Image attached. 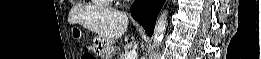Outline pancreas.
<instances>
[{
  "mask_svg": "<svg viewBox=\"0 0 261 59\" xmlns=\"http://www.w3.org/2000/svg\"><path fill=\"white\" fill-rule=\"evenodd\" d=\"M119 59H125V54L122 53V54L120 55V58H119Z\"/></svg>",
  "mask_w": 261,
  "mask_h": 59,
  "instance_id": "pancreas-1",
  "label": "pancreas"
}]
</instances>
